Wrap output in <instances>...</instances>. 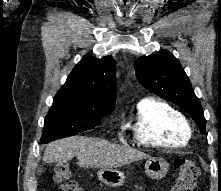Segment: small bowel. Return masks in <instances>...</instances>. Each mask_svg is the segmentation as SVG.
Wrapping results in <instances>:
<instances>
[{
    "instance_id": "obj_1",
    "label": "small bowel",
    "mask_w": 221,
    "mask_h": 191,
    "mask_svg": "<svg viewBox=\"0 0 221 191\" xmlns=\"http://www.w3.org/2000/svg\"><path fill=\"white\" fill-rule=\"evenodd\" d=\"M135 188L138 189V190L142 189V187L140 185H136Z\"/></svg>"
}]
</instances>
